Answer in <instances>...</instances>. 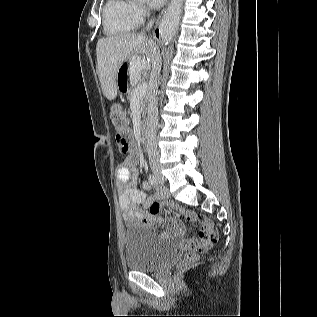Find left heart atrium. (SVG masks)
<instances>
[{
  "mask_svg": "<svg viewBox=\"0 0 317 317\" xmlns=\"http://www.w3.org/2000/svg\"><path fill=\"white\" fill-rule=\"evenodd\" d=\"M165 0H148L149 6L152 8H159L164 4Z\"/></svg>",
  "mask_w": 317,
  "mask_h": 317,
  "instance_id": "left-heart-atrium-1",
  "label": "left heart atrium"
}]
</instances>
